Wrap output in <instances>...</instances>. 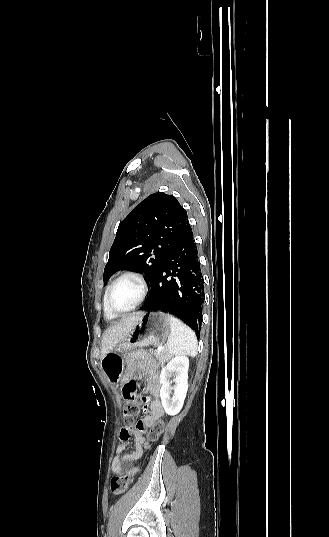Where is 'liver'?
<instances>
[{
  "label": "liver",
  "instance_id": "1",
  "mask_svg": "<svg viewBox=\"0 0 329 537\" xmlns=\"http://www.w3.org/2000/svg\"><path fill=\"white\" fill-rule=\"evenodd\" d=\"M142 313H136L112 325L103 334L101 358L118 345L139 321Z\"/></svg>",
  "mask_w": 329,
  "mask_h": 537
}]
</instances>
